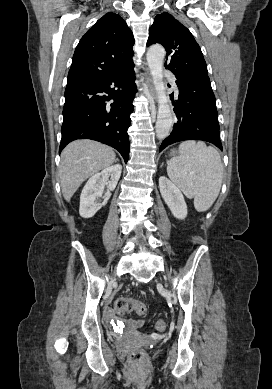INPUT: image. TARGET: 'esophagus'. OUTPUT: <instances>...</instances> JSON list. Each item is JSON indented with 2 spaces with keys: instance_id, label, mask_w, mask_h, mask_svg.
Returning a JSON list of instances; mask_svg holds the SVG:
<instances>
[{
  "instance_id": "34e87169",
  "label": "esophagus",
  "mask_w": 272,
  "mask_h": 389,
  "mask_svg": "<svg viewBox=\"0 0 272 389\" xmlns=\"http://www.w3.org/2000/svg\"><path fill=\"white\" fill-rule=\"evenodd\" d=\"M147 83H148V93L150 94V96L153 99H156V92H155V89H154V86H153V83H152L151 76L149 74H148V77H147Z\"/></svg>"
}]
</instances>
